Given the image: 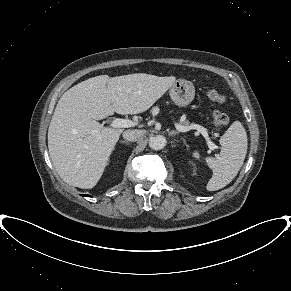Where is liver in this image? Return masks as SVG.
I'll use <instances>...</instances> for the list:
<instances>
[{"instance_id":"liver-1","label":"liver","mask_w":291,"mask_h":291,"mask_svg":"<svg viewBox=\"0 0 291 291\" xmlns=\"http://www.w3.org/2000/svg\"><path fill=\"white\" fill-rule=\"evenodd\" d=\"M176 81L135 73L89 78L66 91L58 101L48 129L49 154L59 176L75 187L90 189L100 180L123 132L98 120L114 112L147 111Z\"/></svg>"}]
</instances>
